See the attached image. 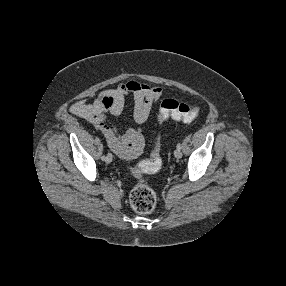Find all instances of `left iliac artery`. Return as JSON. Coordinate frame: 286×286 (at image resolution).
Masks as SVG:
<instances>
[{"instance_id": "left-iliac-artery-1", "label": "left iliac artery", "mask_w": 286, "mask_h": 286, "mask_svg": "<svg viewBox=\"0 0 286 286\" xmlns=\"http://www.w3.org/2000/svg\"><path fill=\"white\" fill-rule=\"evenodd\" d=\"M176 147H177V149H181V143L178 142Z\"/></svg>"}]
</instances>
